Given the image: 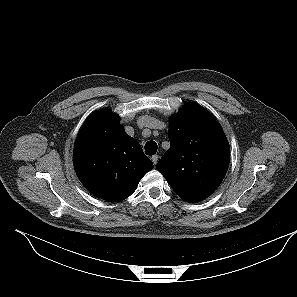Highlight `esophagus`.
<instances>
[{
    "mask_svg": "<svg viewBox=\"0 0 297 297\" xmlns=\"http://www.w3.org/2000/svg\"><path fill=\"white\" fill-rule=\"evenodd\" d=\"M151 160H152L153 164L156 165L158 160H159V156L158 155H153L151 157Z\"/></svg>",
    "mask_w": 297,
    "mask_h": 297,
    "instance_id": "obj_1",
    "label": "esophagus"
}]
</instances>
